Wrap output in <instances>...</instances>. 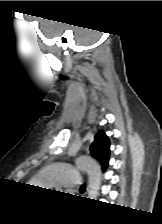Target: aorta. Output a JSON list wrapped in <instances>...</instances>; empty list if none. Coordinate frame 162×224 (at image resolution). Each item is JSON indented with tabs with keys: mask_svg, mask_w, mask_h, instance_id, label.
Returning <instances> with one entry per match:
<instances>
[{
	"mask_svg": "<svg viewBox=\"0 0 162 224\" xmlns=\"http://www.w3.org/2000/svg\"><path fill=\"white\" fill-rule=\"evenodd\" d=\"M76 166L87 172L89 178L88 197L96 199L101 187L102 175L99 164L90 157L81 156L76 159Z\"/></svg>",
	"mask_w": 162,
	"mask_h": 224,
	"instance_id": "aorta-1",
	"label": "aorta"
}]
</instances>
